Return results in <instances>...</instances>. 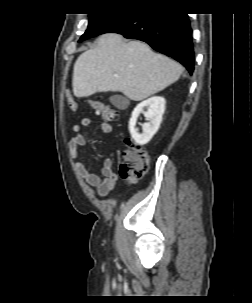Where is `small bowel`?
I'll use <instances>...</instances> for the list:
<instances>
[{
	"label": "small bowel",
	"mask_w": 252,
	"mask_h": 303,
	"mask_svg": "<svg viewBox=\"0 0 252 303\" xmlns=\"http://www.w3.org/2000/svg\"><path fill=\"white\" fill-rule=\"evenodd\" d=\"M92 120L88 117L83 118L79 123L72 128V137L69 143V155L74 160V166L80 177H82L87 184L94 187L101 197L107 196L115 187L118 180L117 174L113 170V162L110 158L103 161L101 168V175L93 173L79 160V150L85 144V139L81 131L91 124ZM101 132H112V126L107 122H101L99 125Z\"/></svg>",
	"instance_id": "c3829d8e"
}]
</instances>
